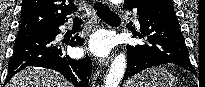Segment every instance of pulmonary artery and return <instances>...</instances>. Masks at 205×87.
Instances as JSON below:
<instances>
[{
    "instance_id": "pulmonary-artery-1",
    "label": "pulmonary artery",
    "mask_w": 205,
    "mask_h": 87,
    "mask_svg": "<svg viewBox=\"0 0 205 87\" xmlns=\"http://www.w3.org/2000/svg\"><path fill=\"white\" fill-rule=\"evenodd\" d=\"M134 21H135L136 25L138 26L139 25L138 19L135 18Z\"/></svg>"
}]
</instances>
